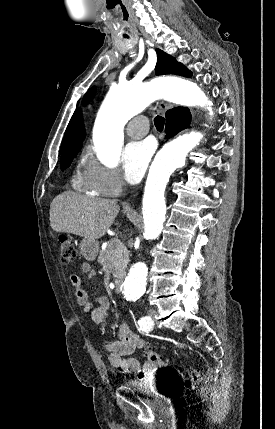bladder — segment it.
Wrapping results in <instances>:
<instances>
[{
  "instance_id": "31cf9c89",
  "label": "bladder",
  "mask_w": 275,
  "mask_h": 429,
  "mask_svg": "<svg viewBox=\"0 0 275 429\" xmlns=\"http://www.w3.org/2000/svg\"><path fill=\"white\" fill-rule=\"evenodd\" d=\"M133 393H142L143 398H153L154 403H173L178 398L177 377L133 378Z\"/></svg>"
}]
</instances>
